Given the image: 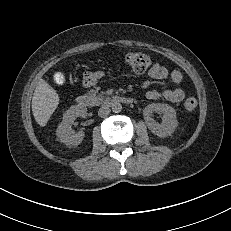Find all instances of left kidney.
<instances>
[{
    "instance_id": "5707ae66",
    "label": "left kidney",
    "mask_w": 231,
    "mask_h": 231,
    "mask_svg": "<svg viewBox=\"0 0 231 231\" xmlns=\"http://www.w3.org/2000/svg\"><path fill=\"white\" fill-rule=\"evenodd\" d=\"M158 112L163 114L162 123H157L152 118V113ZM145 123L152 133L159 137L170 136L178 126L176 111L168 104L152 103L147 105L143 110Z\"/></svg>"
}]
</instances>
